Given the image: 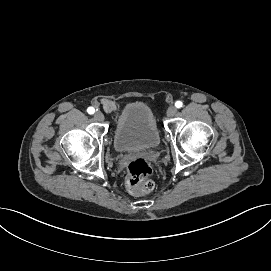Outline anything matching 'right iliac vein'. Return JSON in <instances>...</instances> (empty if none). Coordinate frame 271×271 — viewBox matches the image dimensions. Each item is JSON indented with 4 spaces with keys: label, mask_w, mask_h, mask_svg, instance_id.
<instances>
[{
    "label": "right iliac vein",
    "mask_w": 271,
    "mask_h": 271,
    "mask_svg": "<svg viewBox=\"0 0 271 271\" xmlns=\"http://www.w3.org/2000/svg\"><path fill=\"white\" fill-rule=\"evenodd\" d=\"M93 117L96 121H102L104 119V115L101 112H95Z\"/></svg>",
    "instance_id": "right-iliac-vein-1"
}]
</instances>
